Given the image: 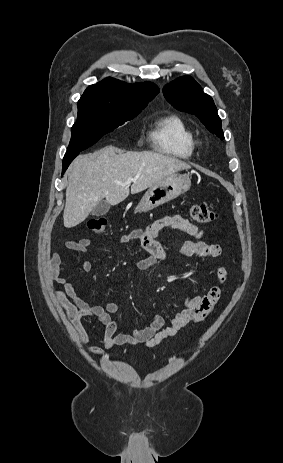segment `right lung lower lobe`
<instances>
[{
    "label": "right lung lower lobe",
    "mask_w": 283,
    "mask_h": 463,
    "mask_svg": "<svg viewBox=\"0 0 283 463\" xmlns=\"http://www.w3.org/2000/svg\"><path fill=\"white\" fill-rule=\"evenodd\" d=\"M79 154L75 153L72 155H65L63 159V169H62V174L65 172V170L68 168L69 164L72 162V160Z\"/></svg>",
    "instance_id": "right-lung-lower-lobe-1"
}]
</instances>
